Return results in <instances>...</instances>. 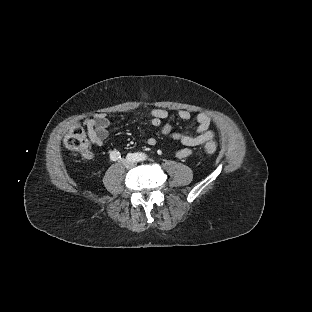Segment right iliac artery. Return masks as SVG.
Listing matches in <instances>:
<instances>
[{
  "label": "right iliac artery",
  "instance_id": "82829eb1",
  "mask_svg": "<svg viewBox=\"0 0 312 312\" xmlns=\"http://www.w3.org/2000/svg\"><path fill=\"white\" fill-rule=\"evenodd\" d=\"M121 157V155H120V153L118 152V151H116V150H114V151H112L111 153H110V158L112 159V160H118L119 158ZM127 159L129 160V161H132V162H139L137 159H136V154H128L127 155Z\"/></svg>",
  "mask_w": 312,
  "mask_h": 312
}]
</instances>
